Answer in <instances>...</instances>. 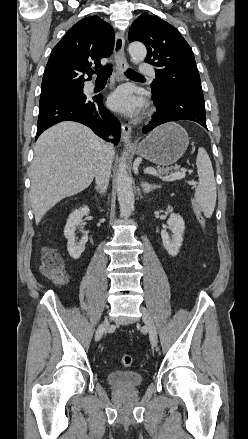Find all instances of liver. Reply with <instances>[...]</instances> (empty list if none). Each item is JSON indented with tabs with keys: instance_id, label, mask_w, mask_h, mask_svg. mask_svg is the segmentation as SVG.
Segmentation results:
<instances>
[{
	"instance_id": "obj_1",
	"label": "liver",
	"mask_w": 248,
	"mask_h": 439,
	"mask_svg": "<svg viewBox=\"0 0 248 439\" xmlns=\"http://www.w3.org/2000/svg\"><path fill=\"white\" fill-rule=\"evenodd\" d=\"M104 145L91 129L72 121L40 135L30 167V201L36 224L62 199L90 186Z\"/></svg>"
}]
</instances>
